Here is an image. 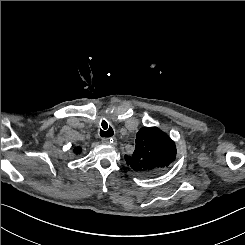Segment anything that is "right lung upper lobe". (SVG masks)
I'll use <instances>...</instances> for the list:
<instances>
[{
    "label": "right lung upper lobe",
    "instance_id": "right-lung-upper-lobe-1",
    "mask_svg": "<svg viewBox=\"0 0 245 245\" xmlns=\"http://www.w3.org/2000/svg\"><path fill=\"white\" fill-rule=\"evenodd\" d=\"M74 152L77 153V154L80 153V152H81V148H80V147H76V148L74 149Z\"/></svg>",
    "mask_w": 245,
    "mask_h": 245
}]
</instances>
